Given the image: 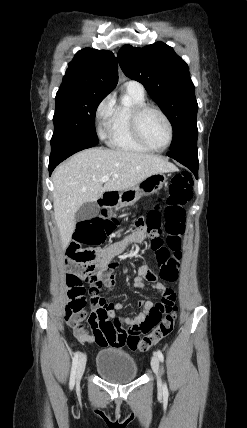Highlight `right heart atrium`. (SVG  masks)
I'll use <instances>...</instances> for the list:
<instances>
[{
	"label": "right heart atrium",
	"instance_id": "right-heart-atrium-1",
	"mask_svg": "<svg viewBox=\"0 0 247 428\" xmlns=\"http://www.w3.org/2000/svg\"><path fill=\"white\" fill-rule=\"evenodd\" d=\"M112 114L113 101L111 96H107L98 104L95 111V118L98 124V132L102 138H105L107 136Z\"/></svg>",
	"mask_w": 247,
	"mask_h": 428
}]
</instances>
